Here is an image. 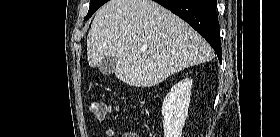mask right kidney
Returning <instances> with one entry per match:
<instances>
[{
    "instance_id": "obj_1",
    "label": "right kidney",
    "mask_w": 280,
    "mask_h": 137,
    "mask_svg": "<svg viewBox=\"0 0 280 137\" xmlns=\"http://www.w3.org/2000/svg\"><path fill=\"white\" fill-rule=\"evenodd\" d=\"M192 79L176 83L162 103L165 137H182V129L188 116Z\"/></svg>"
}]
</instances>
